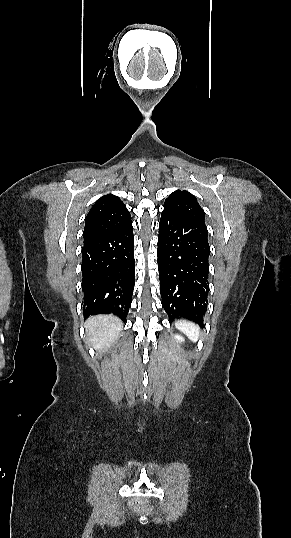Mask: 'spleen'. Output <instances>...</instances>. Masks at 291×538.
I'll return each instance as SVG.
<instances>
[{
    "label": "spleen",
    "instance_id": "1",
    "mask_svg": "<svg viewBox=\"0 0 291 538\" xmlns=\"http://www.w3.org/2000/svg\"><path fill=\"white\" fill-rule=\"evenodd\" d=\"M176 327L185 333L191 340L196 341L199 336V327L186 320L176 322Z\"/></svg>",
    "mask_w": 291,
    "mask_h": 538
}]
</instances>
